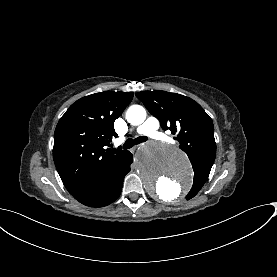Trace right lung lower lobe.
Returning a JSON list of instances; mask_svg holds the SVG:
<instances>
[{
	"label": "right lung lower lobe",
	"mask_w": 277,
	"mask_h": 277,
	"mask_svg": "<svg viewBox=\"0 0 277 277\" xmlns=\"http://www.w3.org/2000/svg\"><path fill=\"white\" fill-rule=\"evenodd\" d=\"M132 162L133 156L127 151L122 159L114 162L99 177L87 183L72 196L80 203L90 207L109 205L120 196L123 179L130 171Z\"/></svg>",
	"instance_id": "obj_1"
}]
</instances>
